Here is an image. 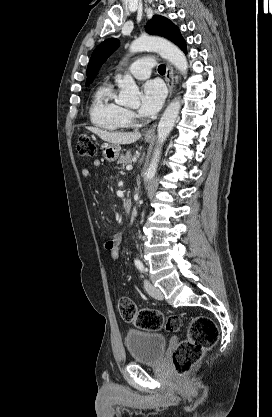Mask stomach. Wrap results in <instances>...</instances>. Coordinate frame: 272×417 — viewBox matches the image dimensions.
I'll use <instances>...</instances> for the list:
<instances>
[{"label": "stomach", "mask_w": 272, "mask_h": 417, "mask_svg": "<svg viewBox=\"0 0 272 417\" xmlns=\"http://www.w3.org/2000/svg\"><path fill=\"white\" fill-rule=\"evenodd\" d=\"M152 138L145 137L146 142H150ZM103 151V156L108 162H114L118 159L120 155V146L119 144L114 143H104L101 145Z\"/></svg>", "instance_id": "stomach-1"}]
</instances>
